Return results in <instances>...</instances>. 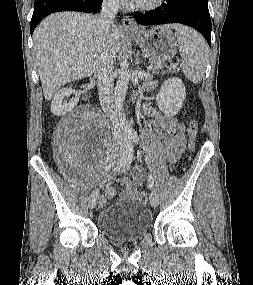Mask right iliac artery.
Segmentation results:
<instances>
[{
	"label": "right iliac artery",
	"mask_w": 253,
	"mask_h": 285,
	"mask_svg": "<svg viewBox=\"0 0 253 285\" xmlns=\"http://www.w3.org/2000/svg\"><path fill=\"white\" fill-rule=\"evenodd\" d=\"M132 157H133V146H132V141L130 140V138H126V154L123 157V159L121 160L119 169L120 173L125 172L126 170L129 169L130 164L132 162ZM113 182H109L106 187L108 188Z\"/></svg>",
	"instance_id": "obj_1"
}]
</instances>
